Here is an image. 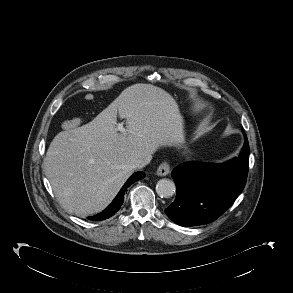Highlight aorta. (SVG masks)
<instances>
[{
	"label": "aorta",
	"mask_w": 293,
	"mask_h": 293,
	"mask_svg": "<svg viewBox=\"0 0 293 293\" xmlns=\"http://www.w3.org/2000/svg\"><path fill=\"white\" fill-rule=\"evenodd\" d=\"M175 183L169 179H160L156 184V193L161 198H169L175 194Z\"/></svg>",
	"instance_id": "aorta-1"
}]
</instances>
